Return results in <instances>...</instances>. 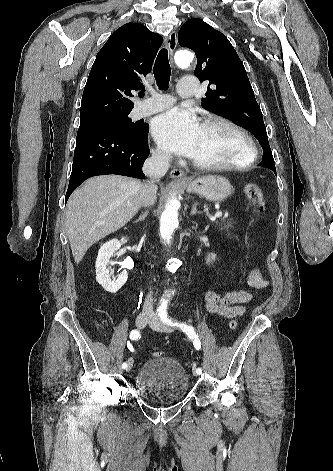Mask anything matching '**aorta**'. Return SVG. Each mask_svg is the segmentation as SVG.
Here are the masks:
<instances>
[{"label": "aorta", "instance_id": "obj_1", "mask_svg": "<svg viewBox=\"0 0 333 471\" xmlns=\"http://www.w3.org/2000/svg\"><path fill=\"white\" fill-rule=\"evenodd\" d=\"M193 60V54L189 51H179L175 55V62L181 68H186ZM180 202L172 196L166 203L165 209L160 217V236L166 243H170L172 234L178 226V210ZM168 299L162 300V307H166Z\"/></svg>", "mask_w": 333, "mask_h": 471}]
</instances>
